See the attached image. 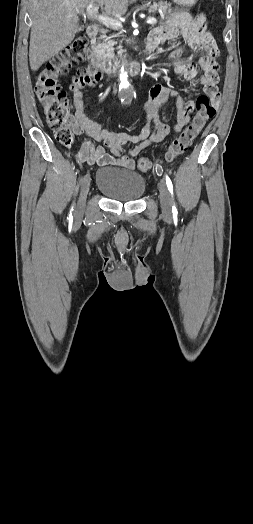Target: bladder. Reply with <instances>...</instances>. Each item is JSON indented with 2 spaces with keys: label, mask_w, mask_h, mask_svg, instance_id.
<instances>
[{
  "label": "bladder",
  "mask_w": 253,
  "mask_h": 524,
  "mask_svg": "<svg viewBox=\"0 0 253 524\" xmlns=\"http://www.w3.org/2000/svg\"><path fill=\"white\" fill-rule=\"evenodd\" d=\"M96 186L110 200L131 202L144 194L146 182L135 171L103 167L97 172Z\"/></svg>",
  "instance_id": "31cf9c89"
}]
</instances>
